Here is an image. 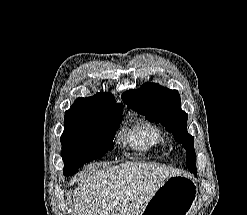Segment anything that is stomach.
<instances>
[{"mask_svg":"<svg viewBox=\"0 0 247 215\" xmlns=\"http://www.w3.org/2000/svg\"><path fill=\"white\" fill-rule=\"evenodd\" d=\"M198 185L184 175L168 178L145 204L140 215H192Z\"/></svg>","mask_w":247,"mask_h":215,"instance_id":"0dacf381","label":"stomach"}]
</instances>
